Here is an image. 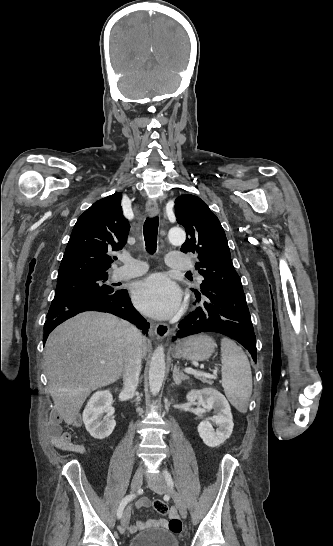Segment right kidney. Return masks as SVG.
Listing matches in <instances>:
<instances>
[{
	"label": "right kidney",
	"mask_w": 333,
	"mask_h": 546,
	"mask_svg": "<svg viewBox=\"0 0 333 546\" xmlns=\"http://www.w3.org/2000/svg\"><path fill=\"white\" fill-rule=\"evenodd\" d=\"M112 401L109 390L97 391L91 396L83 411L85 428L95 439L110 436L116 426L112 417L114 414Z\"/></svg>",
	"instance_id": "ca27d5eb"
}]
</instances>
